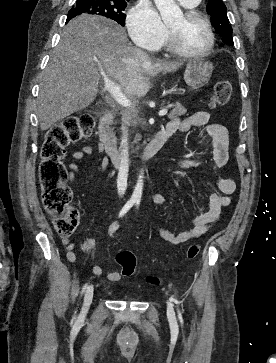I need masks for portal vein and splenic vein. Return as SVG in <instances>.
Wrapping results in <instances>:
<instances>
[{"mask_svg": "<svg viewBox=\"0 0 276 363\" xmlns=\"http://www.w3.org/2000/svg\"><path fill=\"white\" fill-rule=\"evenodd\" d=\"M104 79V90L108 91L112 97L119 103L121 106L126 108H131L132 103L131 101L122 93L121 87L119 84L111 81L107 75H103ZM168 112V109H162L159 111V116H164Z\"/></svg>", "mask_w": 276, "mask_h": 363, "instance_id": "18ae733b", "label": "portal vein and splenic vein"}]
</instances>
